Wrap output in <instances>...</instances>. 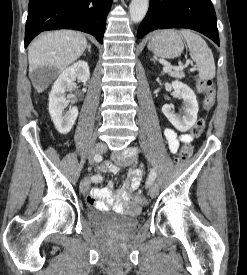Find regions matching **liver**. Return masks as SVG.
I'll return each mask as SVG.
<instances>
[{"label":"liver","mask_w":247,"mask_h":275,"mask_svg":"<svg viewBox=\"0 0 247 275\" xmlns=\"http://www.w3.org/2000/svg\"><path fill=\"white\" fill-rule=\"evenodd\" d=\"M87 48L84 35L72 30H59L40 35L28 49L29 73L42 67H53L58 72L76 61ZM47 85H35L40 93Z\"/></svg>","instance_id":"obj_1"}]
</instances>
